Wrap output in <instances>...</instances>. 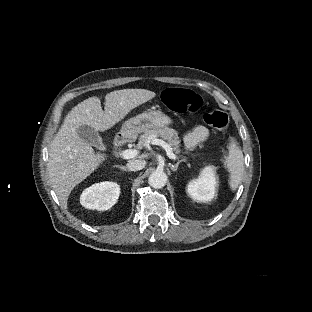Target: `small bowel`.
<instances>
[{"instance_id":"c3829d8e","label":"small bowel","mask_w":312,"mask_h":312,"mask_svg":"<svg viewBox=\"0 0 312 312\" xmlns=\"http://www.w3.org/2000/svg\"><path fill=\"white\" fill-rule=\"evenodd\" d=\"M209 130L202 125L195 126L190 129L183 137V145L187 149L194 148L207 139Z\"/></svg>"}]
</instances>
